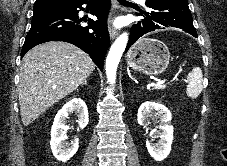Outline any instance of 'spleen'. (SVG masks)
<instances>
[{"instance_id":"obj_1","label":"spleen","mask_w":227,"mask_h":166,"mask_svg":"<svg viewBox=\"0 0 227 166\" xmlns=\"http://www.w3.org/2000/svg\"><path fill=\"white\" fill-rule=\"evenodd\" d=\"M203 74L200 67H194L187 76L186 94L192 99H196L203 89Z\"/></svg>"}]
</instances>
